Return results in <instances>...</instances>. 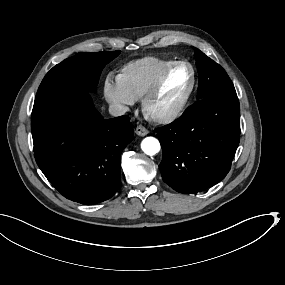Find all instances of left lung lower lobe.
Masks as SVG:
<instances>
[{"instance_id": "1", "label": "left lung lower lobe", "mask_w": 285, "mask_h": 285, "mask_svg": "<svg viewBox=\"0 0 285 285\" xmlns=\"http://www.w3.org/2000/svg\"><path fill=\"white\" fill-rule=\"evenodd\" d=\"M155 131L163 151V181L183 194L204 191L225 178L239 145L237 94L202 98Z\"/></svg>"}]
</instances>
